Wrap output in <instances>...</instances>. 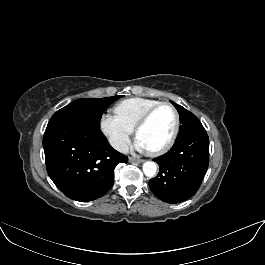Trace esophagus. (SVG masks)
<instances>
[{"mask_svg":"<svg viewBox=\"0 0 265 265\" xmlns=\"http://www.w3.org/2000/svg\"><path fill=\"white\" fill-rule=\"evenodd\" d=\"M129 161H130V162H133V163H142V162H143L142 159L134 158V157H130V158H129Z\"/></svg>","mask_w":265,"mask_h":265,"instance_id":"1","label":"esophagus"}]
</instances>
